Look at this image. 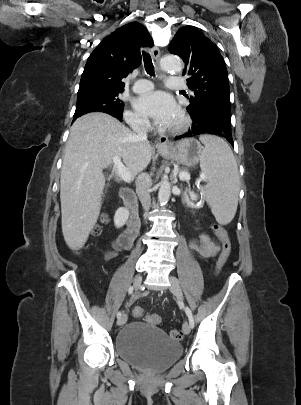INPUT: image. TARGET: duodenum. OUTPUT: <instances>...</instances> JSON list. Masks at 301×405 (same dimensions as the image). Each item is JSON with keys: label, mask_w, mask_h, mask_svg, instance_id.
Masks as SVG:
<instances>
[{"label": "duodenum", "mask_w": 301, "mask_h": 405, "mask_svg": "<svg viewBox=\"0 0 301 405\" xmlns=\"http://www.w3.org/2000/svg\"><path fill=\"white\" fill-rule=\"evenodd\" d=\"M120 196L129 213L126 229L121 234L120 239L122 245L126 249H129L132 246L133 240L135 238L139 226V222L135 213L137 208V202L133 191L129 188H122L120 191Z\"/></svg>", "instance_id": "duodenum-1"}]
</instances>
